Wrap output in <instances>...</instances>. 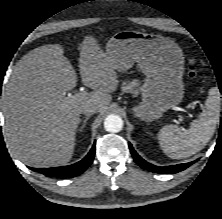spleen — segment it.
<instances>
[{
	"label": "spleen",
	"mask_w": 222,
	"mask_h": 219,
	"mask_svg": "<svg viewBox=\"0 0 222 219\" xmlns=\"http://www.w3.org/2000/svg\"><path fill=\"white\" fill-rule=\"evenodd\" d=\"M205 106V110L192 121L188 129L166 125L160 130L158 140L170 158L192 156L210 141L220 119V93L217 87L210 89Z\"/></svg>",
	"instance_id": "1"
}]
</instances>
